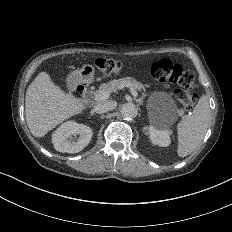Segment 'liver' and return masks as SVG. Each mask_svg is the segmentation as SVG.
<instances>
[{
  "instance_id": "obj_1",
  "label": "liver",
  "mask_w": 232,
  "mask_h": 232,
  "mask_svg": "<svg viewBox=\"0 0 232 232\" xmlns=\"http://www.w3.org/2000/svg\"><path fill=\"white\" fill-rule=\"evenodd\" d=\"M86 108L84 101L61 89L46 71H41L26 90V122L31 134L37 138L45 137L49 131Z\"/></svg>"
}]
</instances>
